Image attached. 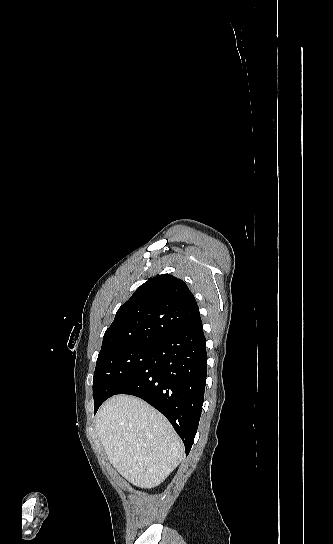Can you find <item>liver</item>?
I'll return each instance as SVG.
<instances>
[{
	"mask_svg": "<svg viewBox=\"0 0 333 544\" xmlns=\"http://www.w3.org/2000/svg\"><path fill=\"white\" fill-rule=\"evenodd\" d=\"M95 428L110 463L137 487H157L183 459L171 424L139 398H110L97 412Z\"/></svg>",
	"mask_w": 333,
	"mask_h": 544,
	"instance_id": "obj_1",
	"label": "liver"
}]
</instances>
